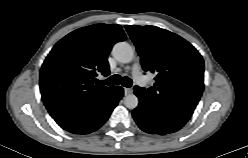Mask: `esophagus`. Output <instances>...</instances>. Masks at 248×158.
<instances>
[{"mask_svg":"<svg viewBox=\"0 0 248 158\" xmlns=\"http://www.w3.org/2000/svg\"><path fill=\"white\" fill-rule=\"evenodd\" d=\"M133 91H132V89L131 88H126V87H124V94L125 95H129V94H131Z\"/></svg>","mask_w":248,"mask_h":158,"instance_id":"34e87169","label":"esophagus"}]
</instances>
